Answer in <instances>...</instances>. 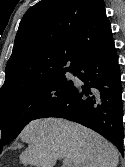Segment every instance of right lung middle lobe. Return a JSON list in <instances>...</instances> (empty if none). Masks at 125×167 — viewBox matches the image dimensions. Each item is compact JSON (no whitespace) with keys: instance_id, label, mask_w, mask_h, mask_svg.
<instances>
[{"instance_id":"obj_1","label":"right lung middle lobe","mask_w":125,"mask_h":167,"mask_svg":"<svg viewBox=\"0 0 125 167\" xmlns=\"http://www.w3.org/2000/svg\"><path fill=\"white\" fill-rule=\"evenodd\" d=\"M73 85L61 73L0 99V146L15 139L45 105L62 98Z\"/></svg>"}]
</instances>
